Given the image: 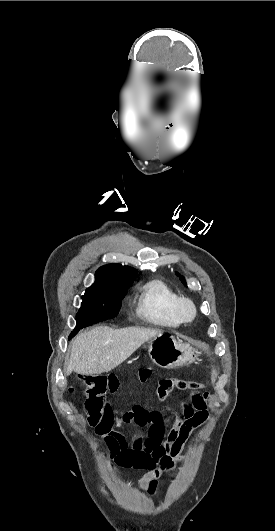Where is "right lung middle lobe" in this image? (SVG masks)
<instances>
[{
    "mask_svg": "<svg viewBox=\"0 0 275 531\" xmlns=\"http://www.w3.org/2000/svg\"><path fill=\"white\" fill-rule=\"evenodd\" d=\"M131 283L93 284L86 289L82 297L81 308L76 316V327L69 339L83 327L116 317L121 301Z\"/></svg>",
    "mask_w": 275,
    "mask_h": 531,
    "instance_id": "obj_1",
    "label": "right lung middle lobe"
}]
</instances>
